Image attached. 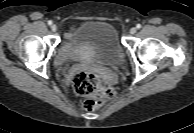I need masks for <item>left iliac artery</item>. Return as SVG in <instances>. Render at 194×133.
Listing matches in <instances>:
<instances>
[{"label":"left iliac artery","mask_w":194,"mask_h":133,"mask_svg":"<svg viewBox=\"0 0 194 133\" xmlns=\"http://www.w3.org/2000/svg\"><path fill=\"white\" fill-rule=\"evenodd\" d=\"M136 27H137L138 29H140V28H141V25H140V24H137Z\"/></svg>","instance_id":"44dca946"}]
</instances>
